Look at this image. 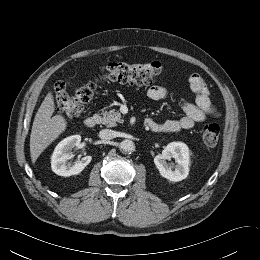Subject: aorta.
Here are the masks:
<instances>
[{"mask_svg":"<svg viewBox=\"0 0 260 260\" xmlns=\"http://www.w3.org/2000/svg\"><path fill=\"white\" fill-rule=\"evenodd\" d=\"M119 149L123 152H132L135 150V144L132 140L125 139L120 142Z\"/></svg>","mask_w":260,"mask_h":260,"instance_id":"aorta-1","label":"aorta"}]
</instances>
